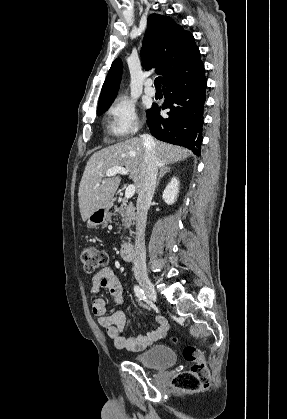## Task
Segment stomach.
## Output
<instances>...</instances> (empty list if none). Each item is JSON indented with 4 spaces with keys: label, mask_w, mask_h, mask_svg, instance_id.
Returning a JSON list of instances; mask_svg holds the SVG:
<instances>
[{
    "label": "stomach",
    "mask_w": 287,
    "mask_h": 419,
    "mask_svg": "<svg viewBox=\"0 0 287 419\" xmlns=\"http://www.w3.org/2000/svg\"><path fill=\"white\" fill-rule=\"evenodd\" d=\"M110 207L111 205L108 204L106 207L94 211L87 219V227L95 228L101 224L107 223L110 218Z\"/></svg>",
    "instance_id": "0dacf381"
}]
</instances>
